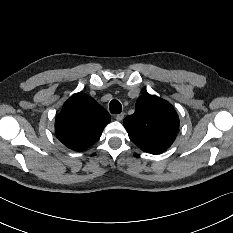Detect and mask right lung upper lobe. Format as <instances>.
I'll use <instances>...</instances> for the list:
<instances>
[{
  "instance_id": "obj_1",
  "label": "right lung upper lobe",
  "mask_w": 233,
  "mask_h": 233,
  "mask_svg": "<svg viewBox=\"0 0 233 233\" xmlns=\"http://www.w3.org/2000/svg\"><path fill=\"white\" fill-rule=\"evenodd\" d=\"M109 122V113L92 97L77 93L64 103L56 117L55 132L66 147L84 151L100 138Z\"/></svg>"
}]
</instances>
